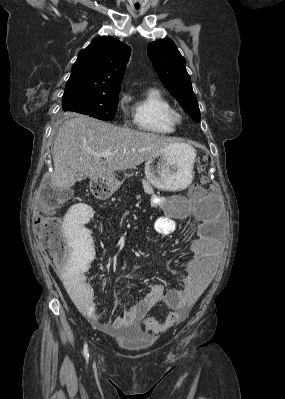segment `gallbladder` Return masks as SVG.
Wrapping results in <instances>:
<instances>
[{
  "label": "gallbladder",
  "mask_w": 285,
  "mask_h": 399,
  "mask_svg": "<svg viewBox=\"0 0 285 399\" xmlns=\"http://www.w3.org/2000/svg\"><path fill=\"white\" fill-rule=\"evenodd\" d=\"M84 179H85V176H84V175H82V174H80V173H78V174L76 175V181L80 182V181H82V180H84Z\"/></svg>",
  "instance_id": "bac80fb5"
}]
</instances>
